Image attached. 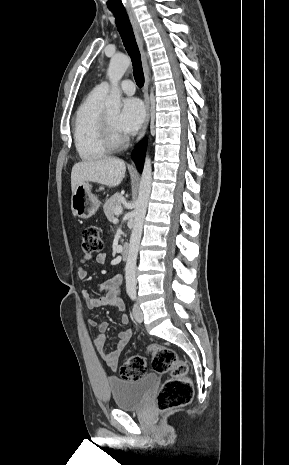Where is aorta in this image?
Masks as SVG:
<instances>
[{
    "instance_id": "obj_1",
    "label": "aorta",
    "mask_w": 289,
    "mask_h": 465,
    "mask_svg": "<svg viewBox=\"0 0 289 465\" xmlns=\"http://www.w3.org/2000/svg\"><path fill=\"white\" fill-rule=\"evenodd\" d=\"M130 64V58L125 55L114 56L110 60V64L107 70V76L109 78V81L111 82L112 87L110 94L105 101L106 107L110 110L120 111L122 107L121 92L118 83L123 77L128 67L130 66ZM151 183V159L148 156H146L140 181L139 195L133 212L134 225L130 237L128 258L125 266L126 289L127 291L132 292L136 291V261L142 235L143 223L151 192Z\"/></svg>"
}]
</instances>
